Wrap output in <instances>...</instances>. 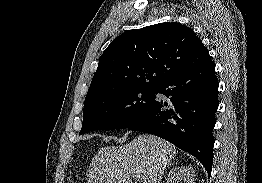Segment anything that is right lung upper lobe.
I'll use <instances>...</instances> for the list:
<instances>
[{"instance_id": "right-lung-upper-lobe-1", "label": "right lung upper lobe", "mask_w": 262, "mask_h": 183, "mask_svg": "<svg viewBox=\"0 0 262 183\" xmlns=\"http://www.w3.org/2000/svg\"><path fill=\"white\" fill-rule=\"evenodd\" d=\"M209 52L193 30L177 22L129 30L99 58L85 101L131 88H156L165 80L204 66Z\"/></svg>"}]
</instances>
